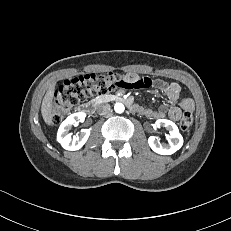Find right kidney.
I'll list each match as a JSON object with an SVG mask.
<instances>
[{"mask_svg": "<svg viewBox=\"0 0 231 231\" xmlns=\"http://www.w3.org/2000/svg\"><path fill=\"white\" fill-rule=\"evenodd\" d=\"M85 117L86 114L83 112L74 113L67 117L60 125L57 133V141L64 149L71 151L79 150L88 140L90 129H82L79 135L74 136H72V133H69L71 127L83 121Z\"/></svg>", "mask_w": 231, "mask_h": 231, "instance_id": "1", "label": "right kidney"}]
</instances>
